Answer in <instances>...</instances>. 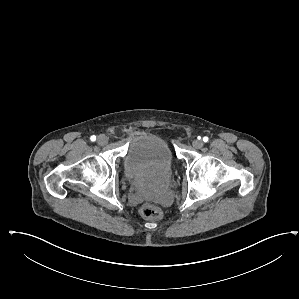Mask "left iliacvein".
<instances>
[{
  "label": "left iliac vein",
  "mask_w": 299,
  "mask_h": 299,
  "mask_svg": "<svg viewBox=\"0 0 299 299\" xmlns=\"http://www.w3.org/2000/svg\"><path fill=\"white\" fill-rule=\"evenodd\" d=\"M204 145L203 141L202 140H199V139H196L192 142V146L196 149H200L202 148Z\"/></svg>",
  "instance_id": "4c4485c4"
}]
</instances>
